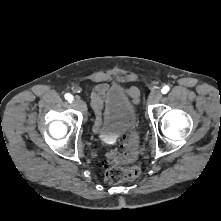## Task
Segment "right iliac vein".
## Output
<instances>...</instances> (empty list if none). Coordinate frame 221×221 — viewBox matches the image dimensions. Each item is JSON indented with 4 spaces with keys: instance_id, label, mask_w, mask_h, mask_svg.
I'll return each instance as SVG.
<instances>
[{
    "instance_id": "1",
    "label": "right iliac vein",
    "mask_w": 221,
    "mask_h": 221,
    "mask_svg": "<svg viewBox=\"0 0 221 221\" xmlns=\"http://www.w3.org/2000/svg\"><path fill=\"white\" fill-rule=\"evenodd\" d=\"M74 107L82 112L86 111V105L85 103L80 99V98H76L73 102Z\"/></svg>"
}]
</instances>
